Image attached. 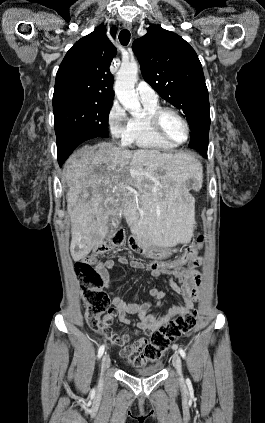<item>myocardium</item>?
Returning a JSON list of instances; mask_svg holds the SVG:
<instances>
[{"label": "myocardium", "mask_w": 265, "mask_h": 423, "mask_svg": "<svg viewBox=\"0 0 265 423\" xmlns=\"http://www.w3.org/2000/svg\"><path fill=\"white\" fill-rule=\"evenodd\" d=\"M166 113H172L174 114L176 117H178L181 122L183 123L185 129H186V137L183 141L181 142H176L173 139H171L164 131L163 126H162V119L163 116ZM149 121L151 124V127L153 129V131L156 133V135L161 138L163 141L174 145V146H180L185 144L189 138H190V124L187 121V119L185 118V116L177 109L173 108V107H169V106H159L156 110H154L153 112L150 113L149 115Z\"/></svg>", "instance_id": "myocardium-1"}]
</instances>
